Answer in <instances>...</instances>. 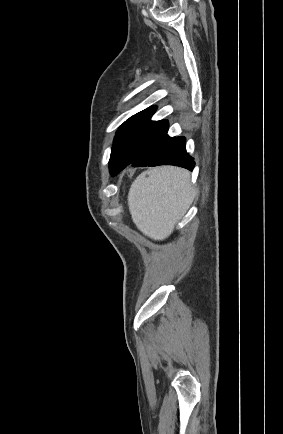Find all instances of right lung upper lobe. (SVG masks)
<instances>
[{"instance_id":"cb5924a9","label":"right lung upper lobe","mask_w":283,"mask_h":434,"mask_svg":"<svg viewBox=\"0 0 283 434\" xmlns=\"http://www.w3.org/2000/svg\"><path fill=\"white\" fill-rule=\"evenodd\" d=\"M155 111H156V107L155 106H151V107H149V108H147V109H145V110L137 113L134 116H150L151 117L155 113ZM134 116H132V117H134Z\"/></svg>"}]
</instances>
